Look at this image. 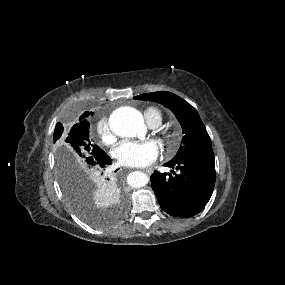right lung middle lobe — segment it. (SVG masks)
<instances>
[{"label": "right lung middle lobe", "mask_w": 285, "mask_h": 285, "mask_svg": "<svg viewBox=\"0 0 285 285\" xmlns=\"http://www.w3.org/2000/svg\"><path fill=\"white\" fill-rule=\"evenodd\" d=\"M88 116L89 113L85 115ZM63 131L62 125L57 123L54 131L55 142L59 140L57 172L64 196L82 220L95 227L109 226L111 222L105 220L93 204L95 192L101 190L99 187L108 189L110 186L109 182L104 183L106 178L98 165L105 152L89 137L87 120L75 124L69 131ZM117 219L119 216H115L113 221Z\"/></svg>", "instance_id": "1"}]
</instances>
